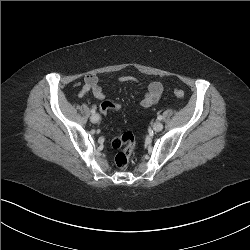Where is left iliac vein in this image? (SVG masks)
Returning <instances> with one entry per match:
<instances>
[{
  "label": "left iliac vein",
  "mask_w": 250,
  "mask_h": 250,
  "mask_svg": "<svg viewBox=\"0 0 250 250\" xmlns=\"http://www.w3.org/2000/svg\"><path fill=\"white\" fill-rule=\"evenodd\" d=\"M163 129V124L161 123V122H155L154 124H153V130L155 131V132H159V131H161Z\"/></svg>",
  "instance_id": "obj_1"
}]
</instances>
